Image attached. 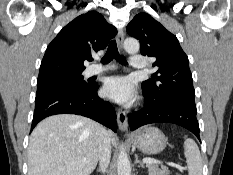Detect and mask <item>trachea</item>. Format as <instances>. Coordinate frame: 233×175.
<instances>
[{"label":"trachea","mask_w":233,"mask_h":175,"mask_svg":"<svg viewBox=\"0 0 233 175\" xmlns=\"http://www.w3.org/2000/svg\"><path fill=\"white\" fill-rule=\"evenodd\" d=\"M113 58L115 60H117L118 62H121L123 64H127L126 60L120 56L115 40H112L109 43L108 49L106 51V54L102 58L101 62L103 64H108Z\"/></svg>","instance_id":"trachea-1"}]
</instances>
